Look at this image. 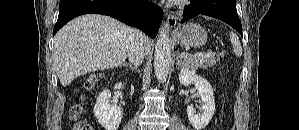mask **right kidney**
<instances>
[{"label": "right kidney", "mask_w": 299, "mask_h": 130, "mask_svg": "<svg viewBox=\"0 0 299 130\" xmlns=\"http://www.w3.org/2000/svg\"><path fill=\"white\" fill-rule=\"evenodd\" d=\"M124 85L120 82L115 89L120 90ZM111 92L103 90L96 101L93 112L99 124L105 130H117L122 119V111L117 105L110 104Z\"/></svg>", "instance_id": "ca27d5eb"}]
</instances>
